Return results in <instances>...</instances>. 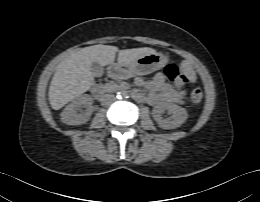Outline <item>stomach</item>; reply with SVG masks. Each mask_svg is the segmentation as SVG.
I'll use <instances>...</instances> for the list:
<instances>
[{"label":"stomach","instance_id":"1","mask_svg":"<svg viewBox=\"0 0 260 202\" xmlns=\"http://www.w3.org/2000/svg\"><path fill=\"white\" fill-rule=\"evenodd\" d=\"M167 61L168 58L163 54H146L128 64H114L112 74L120 79H128L135 75H146L164 67Z\"/></svg>","mask_w":260,"mask_h":202}]
</instances>
